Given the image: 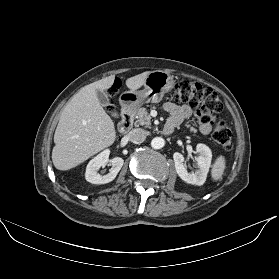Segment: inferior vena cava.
I'll list each match as a JSON object with an SVG mask.
<instances>
[{"mask_svg":"<svg viewBox=\"0 0 279 279\" xmlns=\"http://www.w3.org/2000/svg\"><path fill=\"white\" fill-rule=\"evenodd\" d=\"M128 139L136 144H140L145 141L146 133L141 129H133L128 134Z\"/></svg>","mask_w":279,"mask_h":279,"instance_id":"1","label":"inferior vena cava"}]
</instances>
